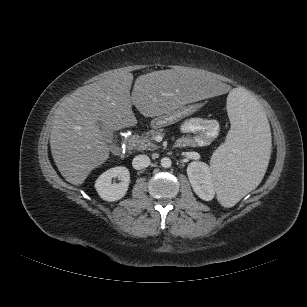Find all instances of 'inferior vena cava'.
I'll return each instance as SVG.
<instances>
[{
	"label": "inferior vena cava",
	"instance_id": "inferior-vena-cava-1",
	"mask_svg": "<svg viewBox=\"0 0 307 307\" xmlns=\"http://www.w3.org/2000/svg\"><path fill=\"white\" fill-rule=\"evenodd\" d=\"M150 165V158L147 155H138L132 161V166L136 170H141Z\"/></svg>",
	"mask_w": 307,
	"mask_h": 307
}]
</instances>
